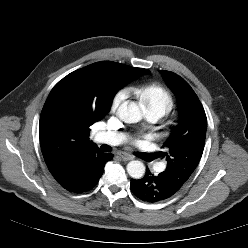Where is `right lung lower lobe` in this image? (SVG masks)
<instances>
[{"instance_id":"obj_1","label":"right lung lower lobe","mask_w":248,"mask_h":248,"mask_svg":"<svg viewBox=\"0 0 248 248\" xmlns=\"http://www.w3.org/2000/svg\"><path fill=\"white\" fill-rule=\"evenodd\" d=\"M112 157L113 154L103 153L99 148L91 149L82 153L55 179L69 192H86L98 183L106 162Z\"/></svg>"}]
</instances>
